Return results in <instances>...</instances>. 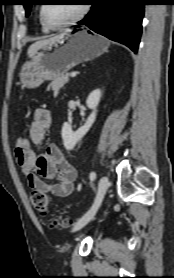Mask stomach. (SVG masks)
Masks as SVG:
<instances>
[{
    "label": "stomach",
    "instance_id": "1",
    "mask_svg": "<svg viewBox=\"0 0 174 278\" xmlns=\"http://www.w3.org/2000/svg\"><path fill=\"white\" fill-rule=\"evenodd\" d=\"M109 47V41L87 29L67 31L39 48L25 62L19 73L22 88H36L44 81L54 80L70 69L94 59Z\"/></svg>",
    "mask_w": 174,
    "mask_h": 278
}]
</instances>
